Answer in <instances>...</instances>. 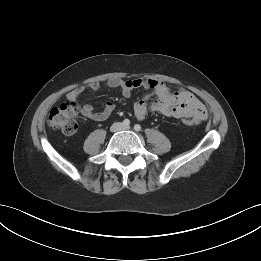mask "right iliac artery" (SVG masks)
<instances>
[{
	"label": "right iliac artery",
	"instance_id": "obj_1",
	"mask_svg": "<svg viewBox=\"0 0 261 261\" xmlns=\"http://www.w3.org/2000/svg\"><path fill=\"white\" fill-rule=\"evenodd\" d=\"M123 125H124V126H129V125H130V120H129V119H125V120L123 121Z\"/></svg>",
	"mask_w": 261,
	"mask_h": 261
}]
</instances>
